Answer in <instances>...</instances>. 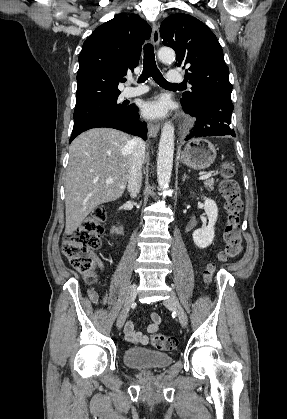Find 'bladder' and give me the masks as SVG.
<instances>
[{
  "label": "bladder",
  "instance_id": "obj_1",
  "mask_svg": "<svg viewBox=\"0 0 287 419\" xmlns=\"http://www.w3.org/2000/svg\"><path fill=\"white\" fill-rule=\"evenodd\" d=\"M122 359L130 368L139 370H160L172 362L170 355L144 347L125 349Z\"/></svg>",
  "mask_w": 287,
  "mask_h": 419
}]
</instances>
